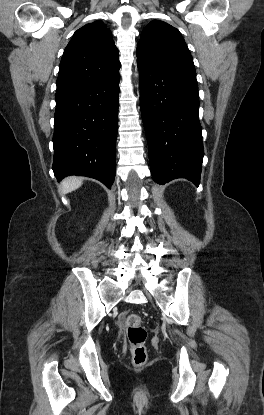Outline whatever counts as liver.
Segmentation results:
<instances>
[{"mask_svg": "<svg viewBox=\"0 0 264 415\" xmlns=\"http://www.w3.org/2000/svg\"><path fill=\"white\" fill-rule=\"evenodd\" d=\"M82 185V179L78 177H68L62 181V193H69L73 190H76Z\"/></svg>", "mask_w": 264, "mask_h": 415, "instance_id": "1", "label": "liver"}]
</instances>
